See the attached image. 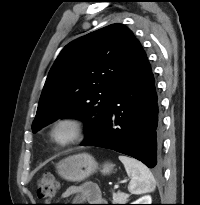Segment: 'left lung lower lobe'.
<instances>
[{
  "label": "left lung lower lobe",
  "instance_id": "left-lung-lower-lobe-1",
  "mask_svg": "<svg viewBox=\"0 0 200 205\" xmlns=\"http://www.w3.org/2000/svg\"><path fill=\"white\" fill-rule=\"evenodd\" d=\"M158 100L151 66L139 41L114 86V96L96 137L83 146L112 149L143 162L160 164Z\"/></svg>",
  "mask_w": 200,
  "mask_h": 205
}]
</instances>
